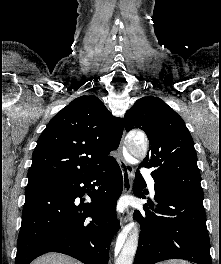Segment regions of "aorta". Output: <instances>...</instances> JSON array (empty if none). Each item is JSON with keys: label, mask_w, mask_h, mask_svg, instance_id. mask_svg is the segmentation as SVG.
<instances>
[{"label": "aorta", "mask_w": 221, "mask_h": 264, "mask_svg": "<svg viewBox=\"0 0 221 264\" xmlns=\"http://www.w3.org/2000/svg\"><path fill=\"white\" fill-rule=\"evenodd\" d=\"M126 147L136 158H144L147 154L148 142L144 135L128 136ZM139 226L129 224L118 236L115 247V264H132L138 246Z\"/></svg>", "instance_id": "aorta-1"}]
</instances>
